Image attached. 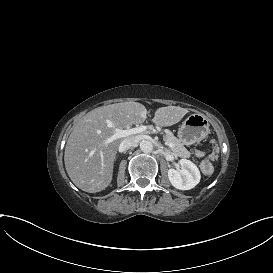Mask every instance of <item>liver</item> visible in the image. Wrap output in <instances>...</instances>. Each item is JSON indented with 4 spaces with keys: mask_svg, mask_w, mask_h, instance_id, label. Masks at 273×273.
<instances>
[{
    "mask_svg": "<svg viewBox=\"0 0 273 273\" xmlns=\"http://www.w3.org/2000/svg\"><path fill=\"white\" fill-rule=\"evenodd\" d=\"M188 110L179 106L158 108L153 122L166 127L178 123ZM147 109L138 102H123L102 106L88 112L71 132L65 147L66 171L81 190L96 193L112 180L113 164L124 138L105 144L115 129L128 128L145 121Z\"/></svg>",
    "mask_w": 273,
    "mask_h": 273,
    "instance_id": "1",
    "label": "liver"
}]
</instances>
